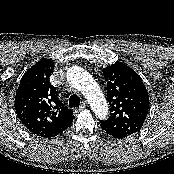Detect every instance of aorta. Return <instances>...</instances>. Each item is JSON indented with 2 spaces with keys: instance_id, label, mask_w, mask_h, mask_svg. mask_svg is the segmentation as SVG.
Masks as SVG:
<instances>
[{
  "instance_id": "762f6f07",
  "label": "aorta",
  "mask_w": 174,
  "mask_h": 174,
  "mask_svg": "<svg viewBox=\"0 0 174 174\" xmlns=\"http://www.w3.org/2000/svg\"><path fill=\"white\" fill-rule=\"evenodd\" d=\"M68 82L82 92L90 103L94 114L101 119L108 115V105L102 91L94 78L79 66H72L67 70Z\"/></svg>"
}]
</instances>
